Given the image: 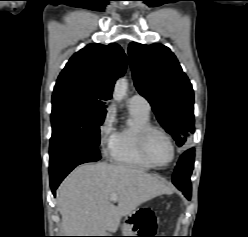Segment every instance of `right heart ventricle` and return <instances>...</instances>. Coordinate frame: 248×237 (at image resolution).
Listing matches in <instances>:
<instances>
[{
	"label": "right heart ventricle",
	"instance_id": "obj_1",
	"mask_svg": "<svg viewBox=\"0 0 248 237\" xmlns=\"http://www.w3.org/2000/svg\"><path fill=\"white\" fill-rule=\"evenodd\" d=\"M130 121L121 126L115 135V144L111 160L115 163L148 170L153 168L141 155L138 147V133L151 125L150 113L137 107L129 106Z\"/></svg>",
	"mask_w": 248,
	"mask_h": 237
}]
</instances>
